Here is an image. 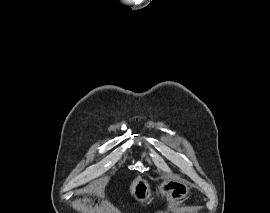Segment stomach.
Listing matches in <instances>:
<instances>
[{"instance_id": "0dacf381", "label": "stomach", "mask_w": 270, "mask_h": 213, "mask_svg": "<svg viewBox=\"0 0 270 213\" xmlns=\"http://www.w3.org/2000/svg\"><path fill=\"white\" fill-rule=\"evenodd\" d=\"M162 196L168 197L170 201H178L187 196L189 187L186 182L165 178L159 186ZM133 196L138 202H148L151 199L150 184L147 180L140 178L134 186Z\"/></svg>"}]
</instances>
